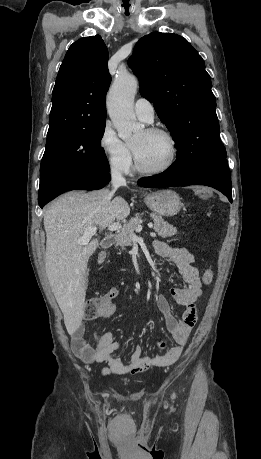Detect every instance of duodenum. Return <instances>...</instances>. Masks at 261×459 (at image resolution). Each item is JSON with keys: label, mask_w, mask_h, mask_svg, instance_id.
Instances as JSON below:
<instances>
[{"label": "duodenum", "mask_w": 261, "mask_h": 459, "mask_svg": "<svg viewBox=\"0 0 261 459\" xmlns=\"http://www.w3.org/2000/svg\"><path fill=\"white\" fill-rule=\"evenodd\" d=\"M115 240H116V236L114 234H109L105 236L102 240V247L109 248L110 246L114 244Z\"/></svg>", "instance_id": "obj_1"}]
</instances>
